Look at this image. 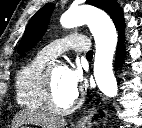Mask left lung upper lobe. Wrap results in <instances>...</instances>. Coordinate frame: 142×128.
Wrapping results in <instances>:
<instances>
[{"instance_id":"5c2ea615","label":"left lung upper lobe","mask_w":142,"mask_h":128,"mask_svg":"<svg viewBox=\"0 0 142 128\" xmlns=\"http://www.w3.org/2000/svg\"><path fill=\"white\" fill-rule=\"evenodd\" d=\"M87 4L101 8L108 13L117 30L124 26L123 12L115 0H86ZM54 8L53 3L44 5L30 20L18 47L19 53L32 49L44 35Z\"/></svg>"}]
</instances>
